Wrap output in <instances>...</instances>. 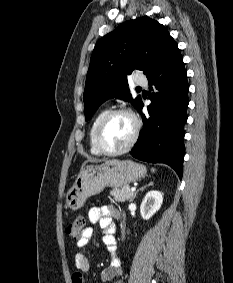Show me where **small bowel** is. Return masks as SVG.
<instances>
[{
  "instance_id": "c3829d8e",
  "label": "small bowel",
  "mask_w": 233,
  "mask_h": 283,
  "mask_svg": "<svg viewBox=\"0 0 233 283\" xmlns=\"http://www.w3.org/2000/svg\"><path fill=\"white\" fill-rule=\"evenodd\" d=\"M118 217L117 210L112 205H103L101 207H93L88 212V218L91 223H99L103 230L102 242L106 249L111 253V263L101 273V278L105 282L118 279L122 275L120 260L116 256L117 242L115 239V223L114 219ZM93 236V229L87 227L83 230L77 241V252L75 255V266L77 271L72 275L73 283H84L83 274L89 269V261L85 254V248L89 244ZM115 283H122L117 280Z\"/></svg>"
}]
</instances>
